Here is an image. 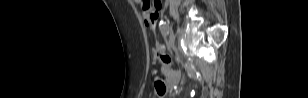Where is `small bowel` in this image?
I'll list each match as a JSON object with an SVG mask.
<instances>
[{
    "label": "small bowel",
    "mask_w": 308,
    "mask_h": 98,
    "mask_svg": "<svg viewBox=\"0 0 308 98\" xmlns=\"http://www.w3.org/2000/svg\"><path fill=\"white\" fill-rule=\"evenodd\" d=\"M136 2L142 6L143 9H148L147 8V1H143V0H136ZM160 8H161V5H160ZM154 24V23H152ZM165 77L166 79H171L173 77V73L169 70V69H166L165 70Z\"/></svg>",
    "instance_id": "obj_1"
}]
</instances>
